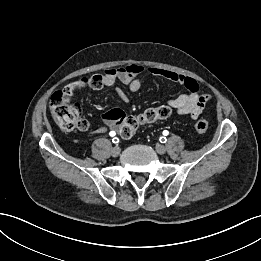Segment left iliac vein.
Listing matches in <instances>:
<instances>
[{
    "mask_svg": "<svg viewBox=\"0 0 261 261\" xmlns=\"http://www.w3.org/2000/svg\"><path fill=\"white\" fill-rule=\"evenodd\" d=\"M155 148H156L157 153L160 155H163L166 153V147L164 145L157 144Z\"/></svg>",
    "mask_w": 261,
    "mask_h": 261,
    "instance_id": "4c4485c4",
    "label": "left iliac vein"
}]
</instances>
